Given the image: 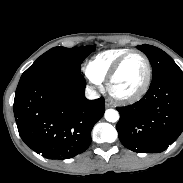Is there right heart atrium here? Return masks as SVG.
Here are the masks:
<instances>
[{"label":"right heart atrium","mask_w":183,"mask_h":183,"mask_svg":"<svg viewBox=\"0 0 183 183\" xmlns=\"http://www.w3.org/2000/svg\"><path fill=\"white\" fill-rule=\"evenodd\" d=\"M85 74L91 83L100 84L101 80L91 72L88 66L85 68Z\"/></svg>","instance_id":"right-heart-atrium-1"}]
</instances>
